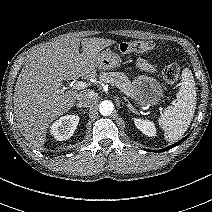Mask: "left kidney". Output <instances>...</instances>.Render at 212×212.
I'll list each match as a JSON object with an SVG mask.
<instances>
[{
    "label": "left kidney",
    "instance_id": "5707ae66",
    "mask_svg": "<svg viewBox=\"0 0 212 212\" xmlns=\"http://www.w3.org/2000/svg\"><path fill=\"white\" fill-rule=\"evenodd\" d=\"M134 123L136 127L145 135L155 136L156 128L153 122L149 120L137 119L134 118Z\"/></svg>",
    "mask_w": 212,
    "mask_h": 212
}]
</instances>
